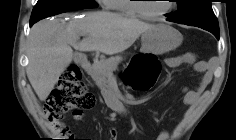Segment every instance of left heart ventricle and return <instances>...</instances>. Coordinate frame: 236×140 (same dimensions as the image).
<instances>
[{
	"instance_id": "1",
	"label": "left heart ventricle",
	"mask_w": 236,
	"mask_h": 140,
	"mask_svg": "<svg viewBox=\"0 0 236 140\" xmlns=\"http://www.w3.org/2000/svg\"><path fill=\"white\" fill-rule=\"evenodd\" d=\"M148 2L144 4L145 9L151 13H159L166 10L169 7L168 1L163 0H147Z\"/></svg>"
}]
</instances>
